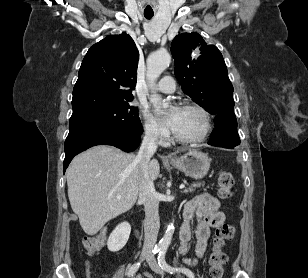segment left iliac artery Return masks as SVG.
Returning <instances> with one entry per match:
<instances>
[{
  "mask_svg": "<svg viewBox=\"0 0 308 278\" xmlns=\"http://www.w3.org/2000/svg\"><path fill=\"white\" fill-rule=\"evenodd\" d=\"M165 254H166V248H162L159 252V255H158V264L163 270H165V271H167L171 274L177 273V272H182L185 275H187L188 278H194V274L189 269L174 268V267L170 266L169 264H167V262L165 260Z\"/></svg>",
  "mask_w": 308,
  "mask_h": 278,
  "instance_id": "obj_1",
  "label": "left iliac artery"
}]
</instances>
